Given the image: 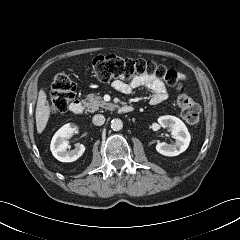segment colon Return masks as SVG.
I'll return each instance as SVG.
<instances>
[{"mask_svg":"<svg viewBox=\"0 0 240 240\" xmlns=\"http://www.w3.org/2000/svg\"><path fill=\"white\" fill-rule=\"evenodd\" d=\"M92 70L101 82L112 80L131 81L138 76H155L176 90H182L175 70L168 69L153 61L145 59L122 58L115 55H101L92 62ZM76 85L74 81L64 73L54 76L52 92L49 102V111L53 115L65 112L69 102L74 98ZM183 119L188 124H196L200 116V107L188 94H180L177 100Z\"/></svg>","mask_w":240,"mask_h":240,"instance_id":"1","label":"colon"}]
</instances>
